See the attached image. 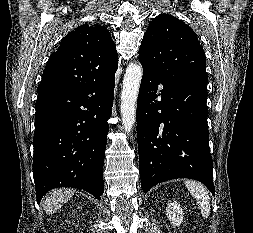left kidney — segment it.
Returning a JSON list of instances; mask_svg holds the SVG:
<instances>
[{
	"label": "left kidney",
	"mask_w": 253,
	"mask_h": 233,
	"mask_svg": "<svg viewBox=\"0 0 253 233\" xmlns=\"http://www.w3.org/2000/svg\"><path fill=\"white\" fill-rule=\"evenodd\" d=\"M166 214L173 226H180L183 221V211L178 202H170L167 206Z\"/></svg>",
	"instance_id": "obj_1"
}]
</instances>
